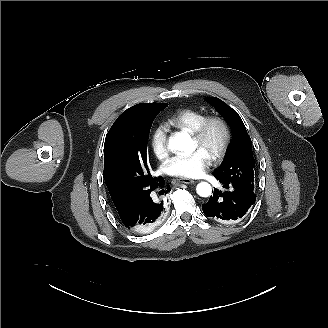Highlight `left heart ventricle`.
I'll list each match as a JSON object with an SVG mask.
<instances>
[{
	"label": "left heart ventricle",
	"mask_w": 328,
	"mask_h": 328,
	"mask_svg": "<svg viewBox=\"0 0 328 328\" xmlns=\"http://www.w3.org/2000/svg\"><path fill=\"white\" fill-rule=\"evenodd\" d=\"M224 133L222 128L214 124L212 125L207 133L206 139L202 145H198L193 139H191V150H202L209 157L213 155L221 146Z\"/></svg>",
	"instance_id": "1"
}]
</instances>
